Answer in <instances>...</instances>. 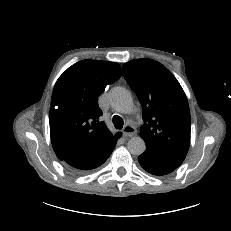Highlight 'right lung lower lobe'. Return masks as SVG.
Listing matches in <instances>:
<instances>
[{
  "instance_id": "right-lung-lower-lobe-1",
  "label": "right lung lower lobe",
  "mask_w": 231,
  "mask_h": 231,
  "mask_svg": "<svg viewBox=\"0 0 231 231\" xmlns=\"http://www.w3.org/2000/svg\"><path fill=\"white\" fill-rule=\"evenodd\" d=\"M120 137L121 133L112 142L95 152L65 156L60 160L65 163L68 169L74 172H86L97 168L108 159Z\"/></svg>"
}]
</instances>
